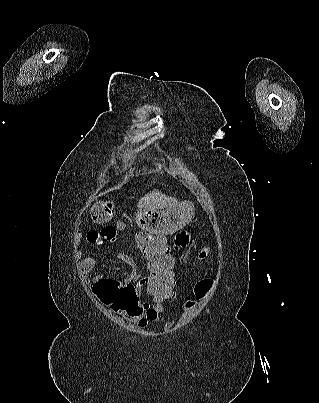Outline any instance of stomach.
<instances>
[{"mask_svg":"<svg viewBox=\"0 0 319 403\" xmlns=\"http://www.w3.org/2000/svg\"><path fill=\"white\" fill-rule=\"evenodd\" d=\"M194 207L189 202L178 203L165 211L135 210V225L143 234H174L190 222Z\"/></svg>","mask_w":319,"mask_h":403,"instance_id":"obj_1","label":"stomach"}]
</instances>
